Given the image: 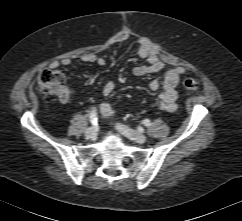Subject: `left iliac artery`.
<instances>
[{
  "label": "left iliac artery",
  "instance_id": "44dca946",
  "mask_svg": "<svg viewBox=\"0 0 242 221\" xmlns=\"http://www.w3.org/2000/svg\"><path fill=\"white\" fill-rule=\"evenodd\" d=\"M143 124H144L145 126H150V125H151V122H150V120L145 119V120H143Z\"/></svg>",
  "mask_w": 242,
  "mask_h": 221
}]
</instances>
